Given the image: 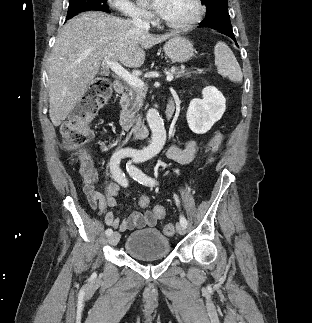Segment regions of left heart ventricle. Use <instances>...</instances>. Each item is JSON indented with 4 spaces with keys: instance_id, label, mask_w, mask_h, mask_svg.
<instances>
[{
    "instance_id": "1",
    "label": "left heart ventricle",
    "mask_w": 312,
    "mask_h": 323,
    "mask_svg": "<svg viewBox=\"0 0 312 323\" xmlns=\"http://www.w3.org/2000/svg\"><path fill=\"white\" fill-rule=\"evenodd\" d=\"M197 3L193 0H167L166 18H185L186 14H196Z\"/></svg>"
}]
</instances>
